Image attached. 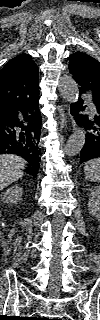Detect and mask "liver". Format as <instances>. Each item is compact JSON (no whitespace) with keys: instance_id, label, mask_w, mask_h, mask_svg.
Segmentation results:
<instances>
[{"instance_id":"1","label":"liver","mask_w":100,"mask_h":320,"mask_svg":"<svg viewBox=\"0 0 100 320\" xmlns=\"http://www.w3.org/2000/svg\"><path fill=\"white\" fill-rule=\"evenodd\" d=\"M26 161L18 155L3 154L0 156V189L17 181L23 176Z\"/></svg>"}]
</instances>
